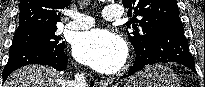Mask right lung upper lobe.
Masks as SVG:
<instances>
[{
    "mask_svg": "<svg viewBox=\"0 0 205 87\" xmlns=\"http://www.w3.org/2000/svg\"><path fill=\"white\" fill-rule=\"evenodd\" d=\"M70 2L71 0H20L17 32L57 28L60 10Z\"/></svg>",
    "mask_w": 205,
    "mask_h": 87,
    "instance_id": "right-lung-upper-lobe-1",
    "label": "right lung upper lobe"
}]
</instances>
